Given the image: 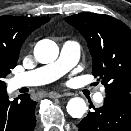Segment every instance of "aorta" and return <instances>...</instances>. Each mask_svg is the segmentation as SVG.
Here are the masks:
<instances>
[{"mask_svg": "<svg viewBox=\"0 0 131 131\" xmlns=\"http://www.w3.org/2000/svg\"><path fill=\"white\" fill-rule=\"evenodd\" d=\"M59 54L57 44L48 39L39 41L34 48L35 58L43 64L53 62ZM68 114L73 118H81L87 111L86 102L79 97L72 98L67 106Z\"/></svg>", "mask_w": 131, "mask_h": 131, "instance_id": "aorta-1", "label": "aorta"}]
</instances>
